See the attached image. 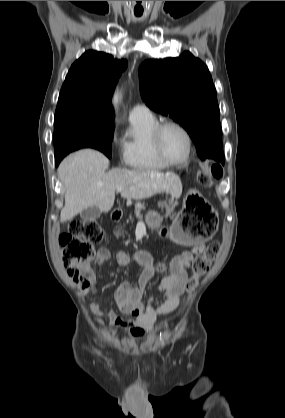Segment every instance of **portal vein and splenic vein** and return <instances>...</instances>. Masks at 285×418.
<instances>
[{
  "mask_svg": "<svg viewBox=\"0 0 285 418\" xmlns=\"http://www.w3.org/2000/svg\"><path fill=\"white\" fill-rule=\"evenodd\" d=\"M124 190V187L117 188V192H122Z\"/></svg>",
  "mask_w": 285,
  "mask_h": 418,
  "instance_id": "1",
  "label": "portal vein and splenic vein"
}]
</instances>
